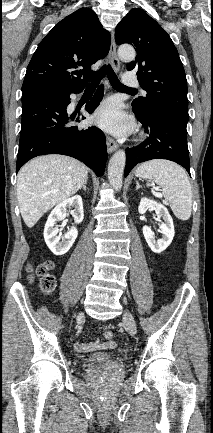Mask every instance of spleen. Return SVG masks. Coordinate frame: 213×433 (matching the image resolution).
Returning <instances> with one entry per match:
<instances>
[{"mask_svg": "<svg viewBox=\"0 0 213 433\" xmlns=\"http://www.w3.org/2000/svg\"><path fill=\"white\" fill-rule=\"evenodd\" d=\"M135 175L162 187V194L178 219L185 221L190 218L192 190L182 167L167 160H151L141 164Z\"/></svg>", "mask_w": 213, "mask_h": 433, "instance_id": "spleen-1", "label": "spleen"}]
</instances>
